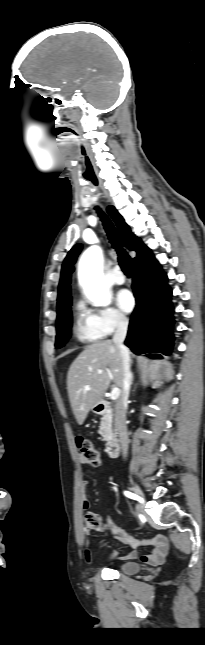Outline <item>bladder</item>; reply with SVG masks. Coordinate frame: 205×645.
Segmentation results:
<instances>
[{
	"instance_id": "bladder-1",
	"label": "bladder",
	"mask_w": 205,
	"mask_h": 645,
	"mask_svg": "<svg viewBox=\"0 0 205 645\" xmlns=\"http://www.w3.org/2000/svg\"><path fill=\"white\" fill-rule=\"evenodd\" d=\"M116 569L124 574L132 575L140 571L141 565L134 561H126L118 564Z\"/></svg>"
}]
</instances>
